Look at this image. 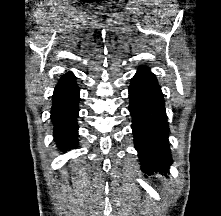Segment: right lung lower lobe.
<instances>
[{
    "mask_svg": "<svg viewBox=\"0 0 221 216\" xmlns=\"http://www.w3.org/2000/svg\"><path fill=\"white\" fill-rule=\"evenodd\" d=\"M76 77L65 73L55 87L51 120L54 125V138L62 149L77 148L78 145V102L80 100Z\"/></svg>",
    "mask_w": 221,
    "mask_h": 216,
    "instance_id": "obj_1",
    "label": "right lung lower lobe"
}]
</instances>
